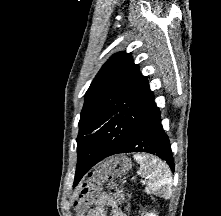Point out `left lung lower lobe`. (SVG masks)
Returning <instances> with one entry per match:
<instances>
[{"mask_svg": "<svg viewBox=\"0 0 221 216\" xmlns=\"http://www.w3.org/2000/svg\"><path fill=\"white\" fill-rule=\"evenodd\" d=\"M129 152H147L164 159L174 171V160L170 141L161 125L160 111L154 103L147 118L140 124L133 136L118 150L109 145L100 144L85 150L79 158L74 186L95 164L104 158Z\"/></svg>", "mask_w": 221, "mask_h": 216, "instance_id": "0a47b994", "label": "left lung lower lobe"}]
</instances>
